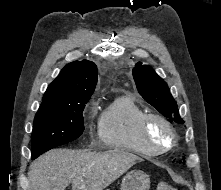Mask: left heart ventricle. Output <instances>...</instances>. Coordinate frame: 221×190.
<instances>
[{"label": "left heart ventricle", "instance_id": "b2bd125f", "mask_svg": "<svg viewBox=\"0 0 221 190\" xmlns=\"http://www.w3.org/2000/svg\"><path fill=\"white\" fill-rule=\"evenodd\" d=\"M148 132L150 139L156 145L166 146L170 142L169 133L159 122H152Z\"/></svg>", "mask_w": 221, "mask_h": 190}]
</instances>
